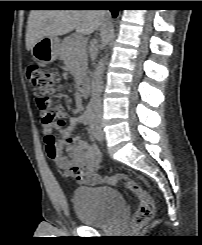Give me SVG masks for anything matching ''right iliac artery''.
<instances>
[{
	"mask_svg": "<svg viewBox=\"0 0 202 245\" xmlns=\"http://www.w3.org/2000/svg\"><path fill=\"white\" fill-rule=\"evenodd\" d=\"M93 120L92 105H88L84 114L82 115V122L87 125Z\"/></svg>",
	"mask_w": 202,
	"mask_h": 245,
	"instance_id": "1",
	"label": "right iliac artery"
}]
</instances>
